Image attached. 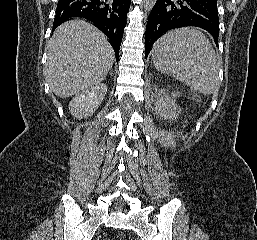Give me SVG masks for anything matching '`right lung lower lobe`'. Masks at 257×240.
<instances>
[{"label": "right lung lower lobe", "mask_w": 257, "mask_h": 240, "mask_svg": "<svg viewBox=\"0 0 257 240\" xmlns=\"http://www.w3.org/2000/svg\"><path fill=\"white\" fill-rule=\"evenodd\" d=\"M129 8L130 0H59L53 31L71 17L85 18L109 38L118 61Z\"/></svg>", "instance_id": "98d812e1"}]
</instances>
